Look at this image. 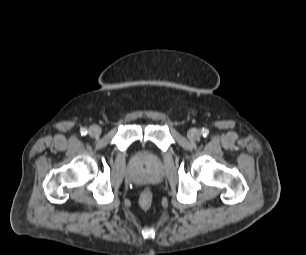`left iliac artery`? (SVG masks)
Returning a JSON list of instances; mask_svg holds the SVG:
<instances>
[{"label":"left iliac artery","instance_id":"left-iliac-artery-1","mask_svg":"<svg viewBox=\"0 0 306 255\" xmlns=\"http://www.w3.org/2000/svg\"><path fill=\"white\" fill-rule=\"evenodd\" d=\"M208 134H209V130L206 129V128H203V129H202V135H203L204 137H206Z\"/></svg>","mask_w":306,"mask_h":255}]
</instances>
